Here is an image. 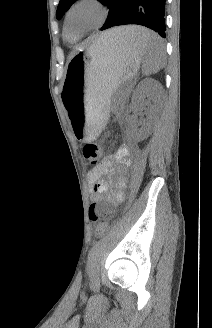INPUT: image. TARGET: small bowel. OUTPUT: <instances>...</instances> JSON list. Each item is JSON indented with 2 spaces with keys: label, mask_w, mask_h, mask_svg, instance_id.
<instances>
[{
  "label": "small bowel",
  "mask_w": 212,
  "mask_h": 328,
  "mask_svg": "<svg viewBox=\"0 0 212 328\" xmlns=\"http://www.w3.org/2000/svg\"><path fill=\"white\" fill-rule=\"evenodd\" d=\"M116 164L121 165V170L117 175L116 185L117 188L112 194L104 198V195L108 192V184L101 179V177L107 173H114V167ZM130 164V150L127 146H120L114 154L106 155L101 161L94 166L87 175V180L91 185L92 199L95 202L105 200L110 207H116L124 199V188L126 186V168Z\"/></svg>",
  "instance_id": "1"
}]
</instances>
